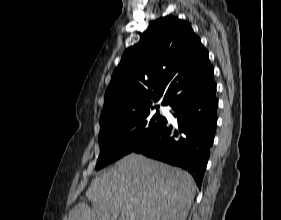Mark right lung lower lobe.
<instances>
[{
  "label": "right lung lower lobe",
  "instance_id": "98d812e1",
  "mask_svg": "<svg viewBox=\"0 0 281 220\" xmlns=\"http://www.w3.org/2000/svg\"><path fill=\"white\" fill-rule=\"evenodd\" d=\"M216 84L176 97L169 105L178 130L167 121L149 140L132 152L187 170L201 188L217 121Z\"/></svg>",
  "mask_w": 281,
  "mask_h": 220
}]
</instances>
